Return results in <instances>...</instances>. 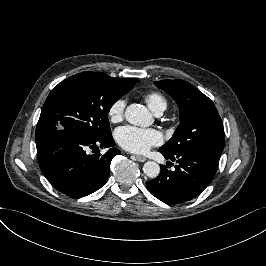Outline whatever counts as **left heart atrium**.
I'll return each mask as SVG.
<instances>
[{"instance_id":"obj_1","label":"left heart atrium","mask_w":266,"mask_h":266,"mask_svg":"<svg viewBox=\"0 0 266 266\" xmlns=\"http://www.w3.org/2000/svg\"><path fill=\"white\" fill-rule=\"evenodd\" d=\"M115 139L124 149L134 153H143L151 147L161 144L163 135L154 128L125 125L116 129Z\"/></svg>"}]
</instances>
